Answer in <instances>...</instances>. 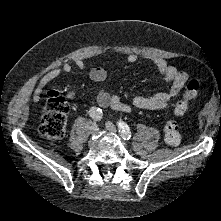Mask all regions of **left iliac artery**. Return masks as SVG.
I'll return each instance as SVG.
<instances>
[{
  "instance_id": "left-iliac-artery-1",
  "label": "left iliac artery",
  "mask_w": 221,
  "mask_h": 221,
  "mask_svg": "<svg viewBox=\"0 0 221 221\" xmlns=\"http://www.w3.org/2000/svg\"><path fill=\"white\" fill-rule=\"evenodd\" d=\"M119 132L121 134V137L125 140H128L131 138V132L129 129V126L124 122H118Z\"/></svg>"
}]
</instances>
